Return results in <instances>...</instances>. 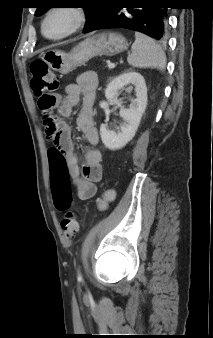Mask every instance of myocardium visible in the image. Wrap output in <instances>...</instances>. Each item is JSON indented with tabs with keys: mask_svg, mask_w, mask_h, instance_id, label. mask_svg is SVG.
I'll return each instance as SVG.
<instances>
[{
	"mask_svg": "<svg viewBox=\"0 0 213 338\" xmlns=\"http://www.w3.org/2000/svg\"><path fill=\"white\" fill-rule=\"evenodd\" d=\"M58 11H66L69 13L72 17V25L71 27L65 31L64 33L56 36H51L46 33V24L49 19V17L58 12ZM87 20V14L84 9L82 8H76V7H57L50 9L43 17L42 23H41V32L42 35L50 41H57L64 38H67L73 34H75L77 31H79L86 23Z\"/></svg>",
	"mask_w": 213,
	"mask_h": 338,
	"instance_id": "myocardium-1",
	"label": "myocardium"
}]
</instances>
